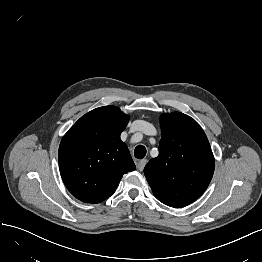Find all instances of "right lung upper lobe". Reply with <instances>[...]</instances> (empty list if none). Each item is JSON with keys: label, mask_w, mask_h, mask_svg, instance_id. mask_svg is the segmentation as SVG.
Returning <instances> with one entry per match:
<instances>
[{"label": "right lung upper lobe", "mask_w": 262, "mask_h": 262, "mask_svg": "<svg viewBox=\"0 0 262 262\" xmlns=\"http://www.w3.org/2000/svg\"><path fill=\"white\" fill-rule=\"evenodd\" d=\"M129 117L118 107L96 108L64 135L58 160L64 184L77 199L100 203L116 190L123 174L135 170L120 134Z\"/></svg>", "instance_id": "1"}]
</instances>
